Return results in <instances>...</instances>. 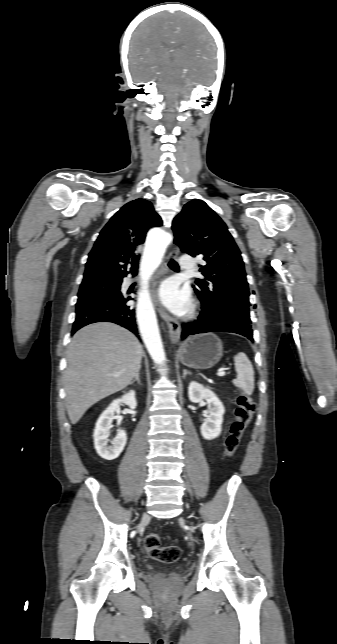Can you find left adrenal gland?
Masks as SVG:
<instances>
[{
	"label": "left adrenal gland",
	"mask_w": 337,
	"mask_h": 644,
	"mask_svg": "<svg viewBox=\"0 0 337 644\" xmlns=\"http://www.w3.org/2000/svg\"><path fill=\"white\" fill-rule=\"evenodd\" d=\"M186 375H191V372H189L186 369H184L182 378L185 379Z\"/></svg>",
	"instance_id": "a2214340"
}]
</instances>
